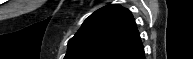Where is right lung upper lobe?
<instances>
[{"instance_id":"1","label":"right lung upper lobe","mask_w":193,"mask_h":59,"mask_svg":"<svg viewBox=\"0 0 193 59\" xmlns=\"http://www.w3.org/2000/svg\"><path fill=\"white\" fill-rule=\"evenodd\" d=\"M142 48L131 12L110 4L85 20L69 40L64 59H128Z\"/></svg>"}]
</instances>
